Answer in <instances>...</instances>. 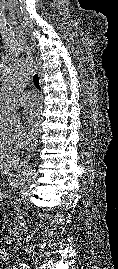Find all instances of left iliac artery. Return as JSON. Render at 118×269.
<instances>
[{"mask_svg": "<svg viewBox=\"0 0 118 269\" xmlns=\"http://www.w3.org/2000/svg\"><path fill=\"white\" fill-rule=\"evenodd\" d=\"M19 269H30V267L25 263H19Z\"/></svg>", "mask_w": 118, "mask_h": 269, "instance_id": "1", "label": "left iliac artery"}]
</instances>
